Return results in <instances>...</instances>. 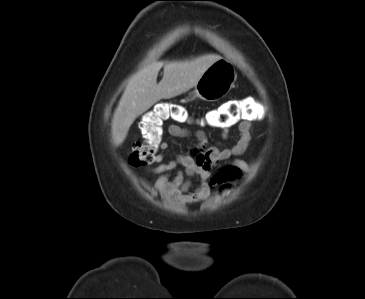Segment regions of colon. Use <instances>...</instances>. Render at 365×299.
Masks as SVG:
<instances>
[{
	"mask_svg": "<svg viewBox=\"0 0 365 299\" xmlns=\"http://www.w3.org/2000/svg\"><path fill=\"white\" fill-rule=\"evenodd\" d=\"M255 115L251 101L232 102L223 108L211 110L205 115V122L213 127L223 128ZM190 120L187 108L175 103H158L143 114L140 130L144 141L136 142L130 151L128 162L132 167H141L155 162L163 142L164 124L168 121L186 123Z\"/></svg>",
	"mask_w": 365,
	"mask_h": 299,
	"instance_id": "colon-1",
	"label": "colon"
}]
</instances>
